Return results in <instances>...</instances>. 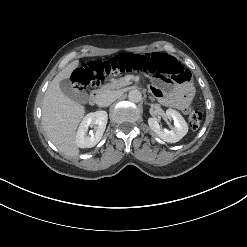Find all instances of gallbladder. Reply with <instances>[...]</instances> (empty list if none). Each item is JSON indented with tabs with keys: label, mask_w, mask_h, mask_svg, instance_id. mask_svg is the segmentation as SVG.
Segmentation results:
<instances>
[{
	"label": "gallbladder",
	"mask_w": 247,
	"mask_h": 247,
	"mask_svg": "<svg viewBox=\"0 0 247 247\" xmlns=\"http://www.w3.org/2000/svg\"><path fill=\"white\" fill-rule=\"evenodd\" d=\"M59 86L63 94L71 100L83 104L88 102V94L84 91H80L74 88L73 84L68 79L61 80L59 82Z\"/></svg>",
	"instance_id": "bac80fb5"
}]
</instances>
